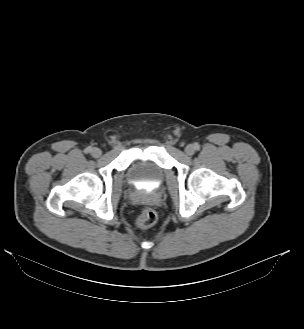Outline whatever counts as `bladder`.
Masks as SVG:
<instances>
[{
	"label": "bladder",
	"instance_id": "31cf9c89",
	"mask_svg": "<svg viewBox=\"0 0 304 329\" xmlns=\"http://www.w3.org/2000/svg\"><path fill=\"white\" fill-rule=\"evenodd\" d=\"M127 178L136 186L157 187L164 179L162 169L149 161L135 160L127 167Z\"/></svg>",
	"mask_w": 304,
	"mask_h": 329
}]
</instances>
